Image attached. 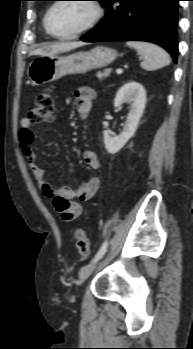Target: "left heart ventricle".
<instances>
[{
  "label": "left heart ventricle",
  "mask_w": 193,
  "mask_h": 349,
  "mask_svg": "<svg viewBox=\"0 0 193 349\" xmlns=\"http://www.w3.org/2000/svg\"><path fill=\"white\" fill-rule=\"evenodd\" d=\"M94 14L89 2H64L53 9L49 24L54 33L68 35L86 26Z\"/></svg>",
  "instance_id": "b2bd125f"
}]
</instances>
